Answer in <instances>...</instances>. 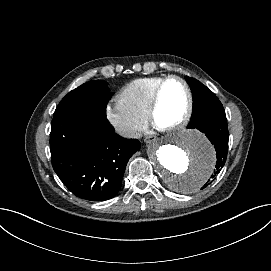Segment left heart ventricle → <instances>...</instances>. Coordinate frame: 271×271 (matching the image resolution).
I'll return each instance as SVG.
<instances>
[{"label": "left heart ventricle", "instance_id": "left-heart-ventricle-1", "mask_svg": "<svg viewBox=\"0 0 271 271\" xmlns=\"http://www.w3.org/2000/svg\"><path fill=\"white\" fill-rule=\"evenodd\" d=\"M187 105L188 94L186 88L180 81L171 80L162 91L157 124L161 127L171 125L185 113Z\"/></svg>", "mask_w": 271, "mask_h": 271}]
</instances>
